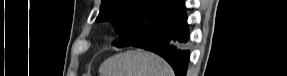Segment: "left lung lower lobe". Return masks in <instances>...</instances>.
<instances>
[{
    "label": "left lung lower lobe",
    "instance_id": "obj_1",
    "mask_svg": "<svg viewBox=\"0 0 287 76\" xmlns=\"http://www.w3.org/2000/svg\"><path fill=\"white\" fill-rule=\"evenodd\" d=\"M188 39L187 17L182 8L128 46L159 54L172 66L176 76H185L189 60V51L185 49Z\"/></svg>",
    "mask_w": 287,
    "mask_h": 76
}]
</instances>
